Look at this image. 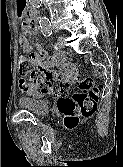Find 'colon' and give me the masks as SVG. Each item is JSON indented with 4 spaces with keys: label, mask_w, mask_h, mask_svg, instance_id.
<instances>
[{
    "label": "colon",
    "mask_w": 123,
    "mask_h": 167,
    "mask_svg": "<svg viewBox=\"0 0 123 167\" xmlns=\"http://www.w3.org/2000/svg\"><path fill=\"white\" fill-rule=\"evenodd\" d=\"M57 61L62 62L63 56L57 55ZM19 71H30V80L43 94L57 97V106L65 118L67 127L76 126L83 118L91 116L97 107L99 87L90 77L77 79L74 83L76 90L68 92L66 84L53 82V75L41 68L32 69L30 57L20 56Z\"/></svg>",
    "instance_id": "obj_1"
}]
</instances>
